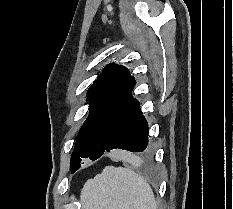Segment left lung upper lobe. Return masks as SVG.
<instances>
[{"label":"left lung upper lobe","mask_w":233,"mask_h":209,"mask_svg":"<svg viewBox=\"0 0 233 209\" xmlns=\"http://www.w3.org/2000/svg\"><path fill=\"white\" fill-rule=\"evenodd\" d=\"M135 79L122 65L111 64L92 84L87 93L89 116L81 127L71 155V172L82 158H99L105 152L115 127L133 106L131 92Z\"/></svg>","instance_id":"5c2ea615"}]
</instances>
